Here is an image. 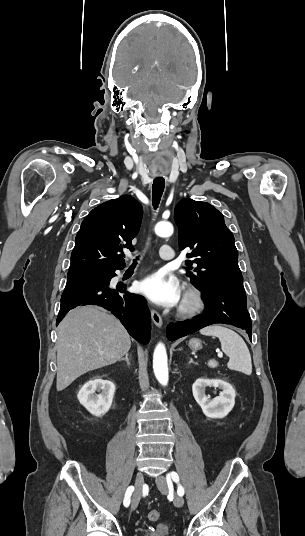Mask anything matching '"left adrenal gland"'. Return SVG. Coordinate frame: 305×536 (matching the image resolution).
Instances as JSON below:
<instances>
[{
	"label": "left adrenal gland",
	"mask_w": 305,
	"mask_h": 536,
	"mask_svg": "<svg viewBox=\"0 0 305 536\" xmlns=\"http://www.w3.org/2000/svg\"><path fill=\"white\" fill-rule=\"evenodd\" d=\"M189 364H195V362H193V358H190Z\"/></svg>",
	"instance_id": "left-adrenal-gland-1"
}]
</instances>
